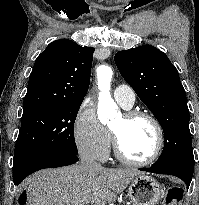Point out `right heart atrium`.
Returning <instances> with one entry per match:
<instances>
[{
	"label": "right heart atrium",
	"mask_w": 199,
	"mask_h": 205,
	"mask_svg": "<svg viewBox=\"0 0 199 205\" xmlns=\"http://www.w3.org/2000/svg\"><path fill=\"white\" fill-rule=\"evenodd\" d=\"M73 134L81 155L98 161L108 158L111 134L100 123L95 106L90 99L84 100L76 113Z\"/></svg>",
	"instance_id": "obj_1"
}]
</instances>
